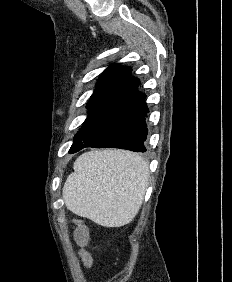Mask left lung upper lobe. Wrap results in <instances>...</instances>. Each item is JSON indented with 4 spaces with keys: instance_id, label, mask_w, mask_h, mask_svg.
Here are the masks:
<instances>
[{
    "instance_id": "5c2ea615",
    "label": "left lung upper lobe",
    "mask_w": 232,
    "mask_h": 282,
    "mask_svg": "<svg viewBox=\"0 0 232 282\" xmlns=\"http://www.w3.org/2000/svg\"><path fill=\"white\" fill-rule=\"evenodd\" d=\"M131 68L110 65L97 81L96 89L87 104L89 116L74 137L73 145L83 144L91 137L97 119L113 95L129 80Z\"/></svg>"
}]
</instances>
